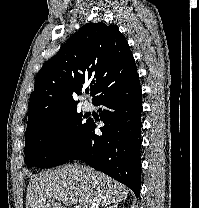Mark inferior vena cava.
<instances>
[{"instance_id": "602c4592", "label": "inferior vena cava", "mask_w": 199, "mask_h": 208, "mask_svg": "<svg viewBox=\"0 0 199 208\" xmlns=\"http://www.w3.org/2000/svg\"><path fill=\"white\" fill-rule=\"evenodd\" d=\"M100 200L97 196H93L90 200V208H99Z\"/></svg>"}]
</instances>
